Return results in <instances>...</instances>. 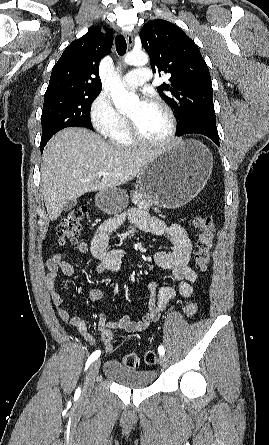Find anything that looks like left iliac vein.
Here are the masks:
<instances>
[{
  "label": "left iliac vein",
  "mask_w": 269,
  "mask_h": 445,
  "mask_svg": "<svg viewBox=\"0 0 269 445\" xmlns=\"http://www.w3.org/2000/svg\"><path fill=\"white\" fill-rule=\"evenodd\" d=\"M159 361H160V365H161L163 368L167 367V365H168V359H167L165 356L161 355Z\"/></svg>",
  "instance_id": "4c4485c4"
}]
</instances>
